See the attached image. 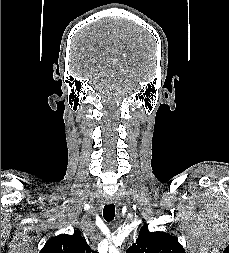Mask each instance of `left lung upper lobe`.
Instances as JSON below:
<instances>
[{
    "label": "left lung upper lobe",
    "mask_w": 229,
    "mask_h": 253,
    "mask_svg": "<svg viewBox=\"0 0 229 253\" xmlns=\"http://www.w3.org/2000/svg\"><path fill=\"white\" fill-rule=\"evenodd\" d=\"M126 253H185L178 239L164 232H149L144 225L139 232L136 243Z\"/></svg>",
    "instance_id": "1"
}]
</instances>
